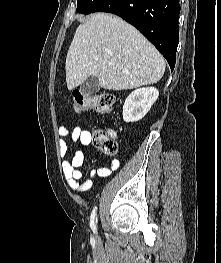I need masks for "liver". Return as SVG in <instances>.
<instances>
[{
    "label": "liver",
    "instance_id": "obj_1",
    "mask_svg": "<svg viewBox=\"0 0 221 263\" xmlns=\"http://www.w3.org/2000/svg\"><path fill=\"white\" fill-rule=\"evenodd\" d=\"M67 88L96 76L102 88L127 90L157 83L165 60L132 25L118 16L97 13L80 24L69 47Z\"/></svg>",
    "mask_w": 221,
    "mask_h": 263
}]
</instances>
